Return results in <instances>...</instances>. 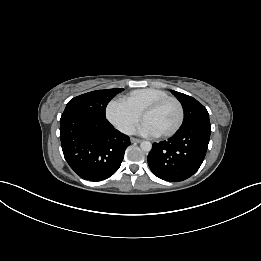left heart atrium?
<instances>
[{"label": "left heart atrium", "mask_w": 261, "mask_h": 261, "mask_svg": "<svg viewBox=\"0 0 261 261\" xmlns=\"http://www.w3.org/2000/svg\"><path fill=\"white\" fill-rule=\"evenodd\" d=\"M138 132L146 136H157L159 133L146 121L138 127Z\"/></svg>", "instance_id": "39dd6f15"}]
</instances>
